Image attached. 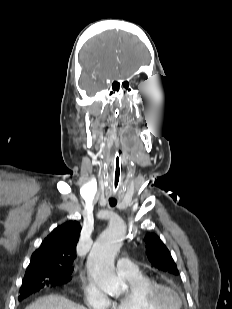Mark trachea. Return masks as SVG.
<instances>
[{"instance_id":"3493384b","label":"trachea","mask_w":232,"mask_h":309,"mask_svg":"<svg viewBox=\"0 0 232 309\" xmlns=\"http://www.w3.org/2000/svg\"><path fill=\"white\" fill-rule=\"evenodd\" d=\"M123 172H124V163H123V159L121 156V151L118 148H116L114 151L113 172H112L113 197L109 199V204L111 206H115L117 204V200L115 196L120 190Z\"/></svg>"}]
</instances>
